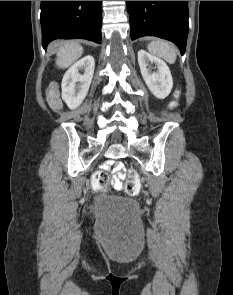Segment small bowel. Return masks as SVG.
Listing matches in <instances>:
<instances>
[{"instance_id": "obj_1", "label": "small bowel", "mask_w": 233, "mask_h": 295, "mask_svg": "<svg viewBox=\"0 0 233 295\" xmlns=\"http://www.w3.org/2000/svg\"><path fill=\"white\" fill-rule=\"evenodd\" d=\"M104 169L106 170L112 169V173H113L112 183L117 189H121L122 188L121 179L125 177L123 163L107 161L104 164Z\"/></svg>"}]
</instances>
